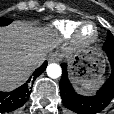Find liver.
Wrapping results in <instances>:
<instances>
[{
    "instance_id": "1",
    "label": "liver",
    "mask_w": 114,
    "mask_h": 114,
    "mask_svg": "<svg viewBox=\"0 0 114 114\" xmlns=\"http://www.w3.org/2000/svg\"><path fill=\"white\" fill-rule=\"evenodd\" d=\"M59 45L60 38L50 27L20 21L0 27V90L21 85Z\"/></svg>"
}]
</instances>
